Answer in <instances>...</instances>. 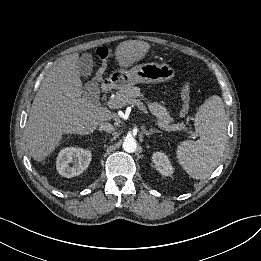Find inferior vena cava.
Segmentation results:
<instances>
[{"label":"inferior vena cava","mask_w":261,"mask_h":261,"mask_svg":"<svg viewBox=\"0 0 261 261\" xmlns=\"http://www.w3.org/2000/svg\"><path fill=\"white\" fill-rule=\"evenodd\" d=\"M99 130L100 131H106V132H112L114 130V127L109 122H101L99 124Z\"/></svg>","instance_id":"obj_1"}]
</instances>
